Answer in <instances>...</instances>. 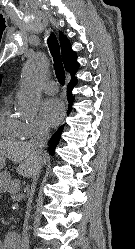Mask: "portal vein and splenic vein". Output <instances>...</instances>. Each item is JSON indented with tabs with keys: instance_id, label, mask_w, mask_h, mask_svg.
<instances>
[{
	"instance_id": "1",
	"label": "portal vein and splenic vein",
	"mask_w": 135,
	"mask_h": 249,
	"mask_svg": "<svg viewBox=\"0 0 135 249\" xmlns=\"http://www.w3.org/2000/svg\"><path fill=\"white\" fill-rule=\"evenodd\" d=\"M22 197H23L22 195H18V196H17V197H15L13 200H16V201H17V200L22 199Z\"/></svg>"
}]
</instances>
